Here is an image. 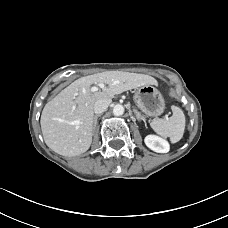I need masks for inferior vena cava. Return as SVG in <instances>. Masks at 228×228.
I'll return each mask as SVG.
<instances>
[{
	"instance_id": "inferior-vena-cava-1",
	"label": "inferior vena cava",
	"mask_w": 228,
	"mask_h": 228,
	"mask_svg": "<svg viewBox=\"0 0 228 228\" xmlns=\"http://www.w3.org/2000/svg\"><path fill=\"white\" fill-rule=\"evenodd\" d=\"M110 103H111V100H107V99H102L97 101L94 105V112L96 114L103 113L104 111H106Z\"/></svg>"
}]
</instances>
